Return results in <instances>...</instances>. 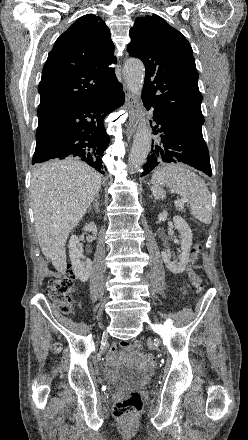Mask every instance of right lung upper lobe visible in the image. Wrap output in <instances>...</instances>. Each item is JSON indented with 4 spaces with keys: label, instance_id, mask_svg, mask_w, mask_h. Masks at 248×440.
<instances>
[{
    "label": "right lung upper lobe",
    "instance_id": "obj_1",
    "mask_svg": "<svg viewBox=\"0 0 248 440\" xmlns=\"http://www.w3.org/2000/svg\"><path fill=\"white\" fill-rule=\"evenodd\" d=\"M114 44L105 22L92 14L79 18L56 40L38 87V118L79 100L100 96L117 79Z\"/></svg>",
    "mask_w": 248,
    "mask_h": 440
}]
</instances>
